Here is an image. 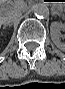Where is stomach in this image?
Returning <instances> with one entry per match:
<instances>
[{
	"instance_id": "stomach-1",
	"label": "stomach",
	"mask_w": 65,
	"mask_h": 89,
	"mask_svg": "<svg viewBox=\"0 0 65 89\" xmlns=\"http://www.w3.org/2000/svg\"><path fill=\"white\" fill-rule=\"evenodd\" d=\"M58 7H59V14L60 15H64V13H65V4L63 3V4H58Z\"/></svg>"
}]
</instances>
